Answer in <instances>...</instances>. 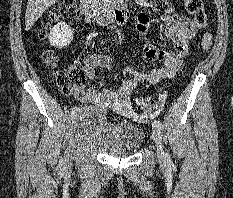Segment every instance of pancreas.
I'll list each match as a JSON object with an SVG mask.
<instances>
[{
	"mask_svg": "<svg viewBox=\"0 0 233 198\" xmlns=\"http://www.w3.org/2000/svg\"><path fill=\"white\" fill-rule=\"evenodd\" d=\"M94 1L103 7H115L117 4L123 2V0H94Z\"/></svg>",
	"mask_w": 233,
	"mask_h": 198,
	"instance_id": "obj_1",
	"label": "pancreas"
}]
</instances>
